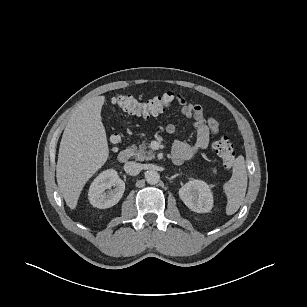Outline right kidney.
<instances>
[{
  "label": "right kidney",
  "instance_id": "obj_1",
  "mask_svg": "<svg viewBox=\"0 0 307 307\" xmlns=\"http://www.w3.org/2000/svg\"><path fill=\"white\" fill-rule=\"evenodd\" d=\"M114 187V189H111ZM109 190L107 193L105 190ZM125 183L114 169L101 172L91 183L88 193L90 203L99 209L114 206L122 198Z\"/></svg>",
  "mask_w": 307,
  "mask_h": 307
}]
</instances>
